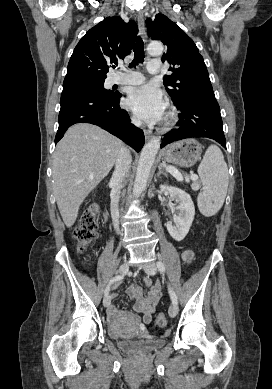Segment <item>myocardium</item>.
Masks as SVG:
<instances>
[{
  "label": "myocardium",
  "instance_id": "obj_1",
  "mask_svg": "<svg viewBox=\"0 0 272 389\" xmlns=\"http://www.w3.org/2000/svg\"><path fill=\"white\" fill-rule=\"evenodd\" d=\"M174 118H175L174 113H169V115H168V117L166 119V125L172 124V122L174 121Z\"/></svg>",
  "mask_w": 272,
  "mask_h": 389
}]
</instances>
